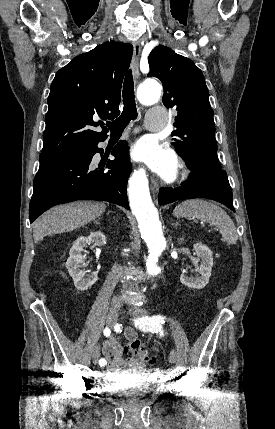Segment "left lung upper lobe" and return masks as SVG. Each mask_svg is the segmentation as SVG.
<instances>
[{
	"label": "left lung upper lobe",
	"instance_id": "obj_1",
	"mask_svg": "<svg viewBox=\"0 0 275 429\" xmlns=\"http://www.w3.org/2000/svg\"><path fill=\"white\" fill-rule=\"evenodd\" d=\"M150 72L162 81V101L178 111L171 133L176 152L187 165L212 163L218 166L213 110L201 70L190 59L159 45L149 57Z\"/></svg>",
	"mask_w": 275,
	"mask_h": 429
}]
</instances>
